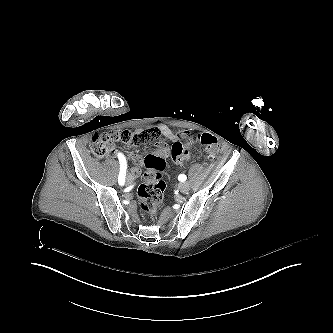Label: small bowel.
Instances as JSON below:
<instances>
[{
  "label": "small bowel",
  "mask_w": 333,
  "mask_h": 333,
  "mask_svg": "<svg viewBox=\"0 0 333 333\" xmlns=\"http://www.w3.org/2000/svg\"><path fill=\"white\" fill-rule=\"evenodd\" d=\"M149 129H156L159 131L160 135L175 142H178L180 139H189L187 132L185 131H177L174 129H171L165 124H155L149 127ZM117 151L111 150L109 152V155L111 158L115 159L117 158ZM189 157V154L186 157H177V158H172L173 161L176 164L182 165ZM134 160L139 161L140 157L139 156H134ZM141 174V170L137 167H133L127 174L126 176V181L128 184H134L136 178Z\"/></svg>",
  "instance_id": "1"
}]
</instances>
